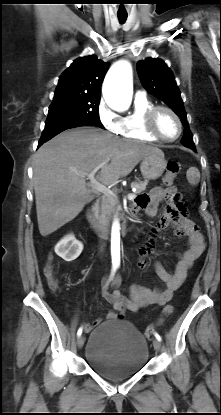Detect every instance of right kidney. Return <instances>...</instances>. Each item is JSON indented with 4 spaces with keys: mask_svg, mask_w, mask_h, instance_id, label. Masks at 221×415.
<instances>
[{
    "mask_svg": "<svg viewBox=\"0 0 221 415\" xmlns=\"http://www.w3.org/2000/svg\"><path fill=\"white\" fill-rule=\"evenodd\" d=\"M83 244L74 235H66L55 246L56 254L67 262L75 260L81 254Z\"/></svg>",
    "mask_w": 221,
    "mask_h": 415,
    "instance_id": "obj_1",
    "label": "right kidney"
}]
</instances>
